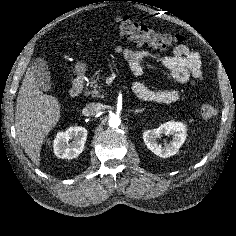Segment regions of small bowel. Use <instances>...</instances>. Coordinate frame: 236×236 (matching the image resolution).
<instances>
[{
	"label": "small bowel",
	"instance_id": "small-bowel-1",
	"mask_svg": "<svg viewBox=\"0 0 236 236\" xmlns=\"http://www.w3.org/2000/svg\"><path fill=\"white\" fill-rule=\"evenodd\" d=\"M115 52L123 56L136 78H142L145 74L143 62L151 60L165 67L170 77L179 84L197 86L204 81L200 54L186 45L177 46L170 55L154 54L147 50H132L121 45L116 46ZM133 92L142 100L160 104L174 103L180 97L176 89L152 90L141 81L134 83Z\"/></svg>",
	"mask_w": 236,
	"mask_h": 236
}]
</instances>
